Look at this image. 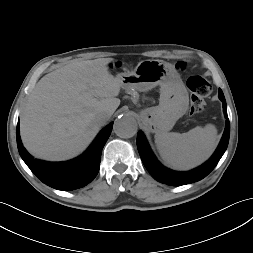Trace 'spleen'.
<instances>
[{
	"label": "spleen",
	"instance_id": "spleen-1",
	"mask_svg": "<svg viewBox=\"0 0 253 253\" xmlns=\"http://www.w3.org/2000/svg\"><path fill=\"white\" fill-rule=\"evenodd\" d=\"M155 143L162 159L179 170L194 168L207 160L217 146V129L208 124L186 133H157Z\"/></svg>",
	"mask_w": 253,
	"mask_h": 253
}]
</instances>
